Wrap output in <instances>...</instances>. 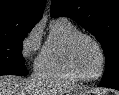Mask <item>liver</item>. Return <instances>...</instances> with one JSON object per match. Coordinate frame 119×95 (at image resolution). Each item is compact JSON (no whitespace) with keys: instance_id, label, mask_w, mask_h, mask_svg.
Returning <instances> with one entry per match:
<instances>
[{"instance_id":"1","label":"liver","mask_w":119,"mask_h":95,"mask_svg":"<svg viewBox=\"0 0 119 95\" xmlns=\"http://www.w3.org/2000/svg\"><path fill=\"white\" fill-rule=\"evenodd\" d=\"M78 86L35 74L29 78L14 75L0 76V95H67Z\"/></svg>"}]
</instances>
